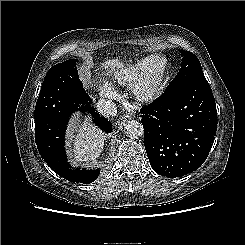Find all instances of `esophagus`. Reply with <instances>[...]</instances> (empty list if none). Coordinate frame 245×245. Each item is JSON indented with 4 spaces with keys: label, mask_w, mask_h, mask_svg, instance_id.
<instances>
[{
    "label": "esophagus",
    "mask_w": 245,
    "mask_h": 245,
    "mask_svg": "<svg viewBox=\"0 0 245 245\" xmlns=\"http://www.w3.org/2000/svg\"><path fill=\"white\" fill-rule=\"evenodd\" d=\"M133 118V115L132 114H127V115H124L122 116L116 123L117 125V129L118 130H122L123 129V126L125 125V123L127 121H129L130 119Z\"/></svg>",
    "instance_id": "1"
}]
</instances>
